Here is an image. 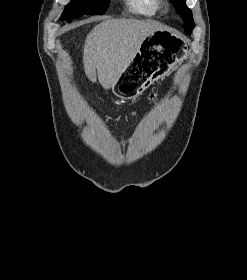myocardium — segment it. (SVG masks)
<instances>
[{
    "label": "myocardium",
    "instance_id": "1",
    "mask_svg": "<svg viewBox=\"0 0 247 280\" xmlns=\"http://www.w3.org/2000/svg\"><path fill=\"white\" fill-rule=\"evenodd\" d=\"M168 9H169V6L166 5V6H165V11H168Z\"/></svg>",
    "mask_w": 247,
    "mask_h": 280
}]
</instances>
